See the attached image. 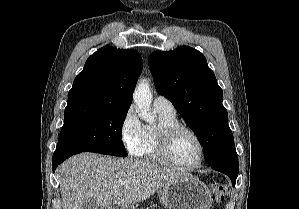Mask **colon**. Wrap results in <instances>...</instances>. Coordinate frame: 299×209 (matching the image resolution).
<instances>
[{
    "label": "colon",
    "mask_w": 299,
    "mask_h": 209,
    "mask_svg": "<svg viewBox=\"0 0 299 209\" xmlns=\"http://www.w3.org/2000/svg\"><path fill=\"white\" fill-rule=\"evenodd\" d=\"M210 190L212 192L214 201L217 203L222 202L229 194V187L223 183H212Z\"/></svg>",
    "instance_id": "obj_1"
}]
</instances>
